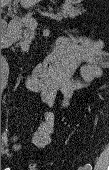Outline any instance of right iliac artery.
<instances>
[{
  "instance_id": "82829eb1",
  "label": "right iliac artery",
  "mask_w": 109,
  "mask_h": 170,
  "mask_svg": "<svg viewBox=\"0 0 109 170\" xmlns=\"http://www.w3.org/2000/svg\"><path fill=\"white\" fill-rule=\"evenodd\" d=\"M5 170H10V168H6Z\"/></svg>"
}]
</instances>
